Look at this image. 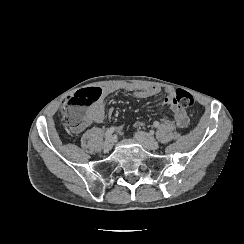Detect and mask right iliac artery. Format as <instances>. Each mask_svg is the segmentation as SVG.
<instances>
[{
    "instance_id": "1",
    "label": "right iliac artery",
    "mask_w": 244,
    "mask_h": 244,
    "mask_svg": "<svg viewBox=\"0 0 244 244\" xmlns=\"http://www.w3.org/2000/svg\"><path fill=\"white\" fill-rule=\"evenodd\" d=\"M114 131H115V127H111V128H109V129L105 132V135H104L105 139L110 138V137L112 136V134L114 133Z\"/></svg>"
}]
</instances>
